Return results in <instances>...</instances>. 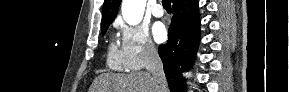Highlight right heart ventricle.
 <instances>
[{"instance_id":"1","label":"right heart ventricle","mask_w":289,"mask_h":92,"mask_svg":"<svg viewBox=\"0 0 289 92\" xmlns=\"http://www.w3.org/2000/svg\"><path fill=\"white\" fill-rule=\"evenodd\" d=\"M108 64L113 69L124 68L121 53L114 44H111L108 50Z\"/></svg>"}]
</instances>
